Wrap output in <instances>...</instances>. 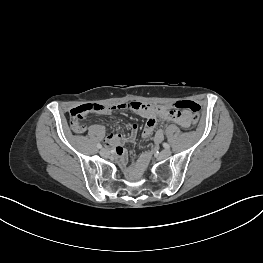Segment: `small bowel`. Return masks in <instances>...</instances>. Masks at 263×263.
I'll list each match as a JSON object with an SVG mask.
<instances>
[{
	"label": "small bowel",
	"mask_w": 263,
	"mask_h": 263,
	"mask_svg": "<svg viewBox=\"0 0 263 263\" xmlns=\"http://www.w3.org/2000/svg\"><path fill=\"white\" fill-rule=\"evenodd\" d=\"M103 109L97 113L111 114L117 110H131L139 116L146 119V123L143 129V137L149 138L154 134V141L160 142L163 139V132L161 130L155 131V128L160 119L171 120L181 126L182 128H188L191 124V118L186 113L174 112L167 106H156L149 103L131 101L121 103L114 106L102 105ZM155 131V132H154ZM138 132V125L132 124L130 133L125 136L123 134H110L106 140V145L111 147L116 156L121 162L126 161L125 144L135 141ZM149 154L145 153L141 156L138 162V173H142L148 162Z\"/></svg>",
	"instance_id": "small-bowel-1"
}]
</instances>
